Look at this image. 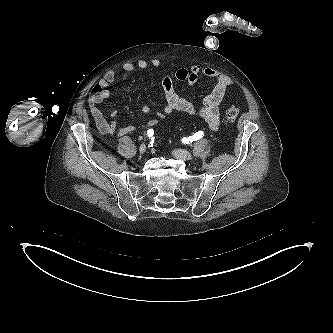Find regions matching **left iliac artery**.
<instances>
[{"instance_id":"44dca946","label":"left iliac artery","mask_w":333,"mask_h":333,"mask_svg":"<svg viewBox=\"0 0 333 333\" xmlns=\"http://www.w3.org/2000/svg\"><path fill=\"white\" fill-rule=\"evenodd\" d=\"M204 135L203 131L196 132L193 136L189 138H183V143H188V141L193 142L199 140Z\"/></svg>"}]
</instances>
